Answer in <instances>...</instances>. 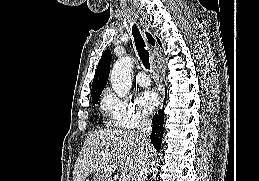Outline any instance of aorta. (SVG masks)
<instances>
[{
	"instance_id": "obj_1",
	"label": "aorta",
	"mask_w": 259,
	"mask_h": 181,
	"mask_svg": "<svg viewBox=\"0 0 259 181\" xmlns=\"http://www.w3.org/2000/svg\"><path fill=\"white\" fill-rule=\"evenodd\" d=\"M132 67L133 59L128 56L118 59L113 65L110 81L114 92L119 97H124L132 86Z\"/></svg>"
}]
</instances>
